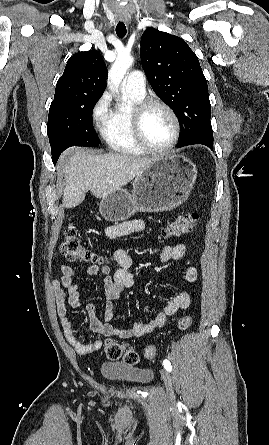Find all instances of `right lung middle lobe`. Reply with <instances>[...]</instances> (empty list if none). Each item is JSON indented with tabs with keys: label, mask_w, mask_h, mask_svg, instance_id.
<instances>
[{
	"label": "right lung middle lobe",
	"mask_w": 269,
	"mask_h": 445,
	"mask_svg": "<svg viewBox=\"0 0 269 445\" xmlns=\"http://www.w3.org/2000/svg\"><path fill=\"white\" fill-rule=\"evenodd\" d=\"M99 98L52 101L47 132L55 163L66 148L97 147L101 142L92 124V110Z\"/></svg>",
	"instance_id": "right-lung-middle-lobe-1"
}]
</instances>
